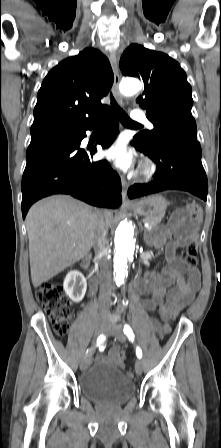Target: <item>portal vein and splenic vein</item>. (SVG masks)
Instances as JSON below:
<instances>
[{"instance_id":"portal-vein-and-splenic-vein-1","label":"portal vein and splenic vein","mask_w":221,"mask_h":448,"mask_svg":"<svg viewBox=\"0 0 221 448\" xmlns=\"http://www.w3.org/2000/svg\"><path fill=\"white\" fill-rule=\"evenodd\" d=\"M144 226H145V228H146V229H148V230H150V229H151V226H150V224H149V223H145V224H144Z\"/></svg>"}]
</instances>
